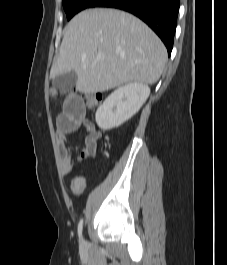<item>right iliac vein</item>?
I'll use <instances>...</instances> for the list:
<instances>
[{
	"instance_id": "obj_1",
	"label": "right iliac vein",
	"mask_w": 227,
	"mask_h": 265,
	"mask_svg": "<svg viewBox=\"0 0 227 265\" xmlns=\"http://www.w3.org/2000/svg\"><path fill=\"white\" fill-rule=\"evenodd\" d=\"M81 247H84V241L83 240L81 241Z\"/></svg>"
}]
</instances>
